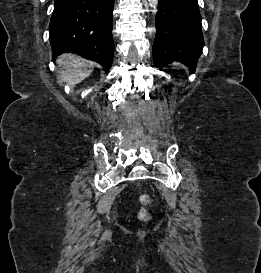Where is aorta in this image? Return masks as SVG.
Segmentation results:
<instances>
[{
	"instance_id": "1",
	"label": "aorta",
	"mask_w": 261,
	"mask_h": 273,
	"mask_svg": "<svg viewBox=\"0 0 261 273\" xmlns=\"http://www.w3.org/2000/svg\"><path fill=\"white\" fill-rule=\"evenodd\" d=\"M151 7L154 9L158 6L159 0H148Z\"/></svg>"
}]
</instances>
